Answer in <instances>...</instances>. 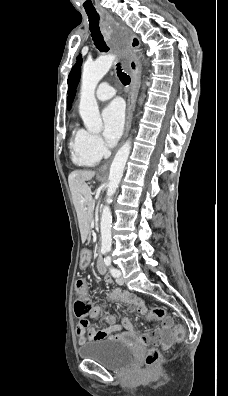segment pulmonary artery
Here are the masks:
<instances>
[{
    "label": "pulmonary artery",
    "mask_w": 228,
    "mask_h": 396,
    "mask_svg": "<svg viewBox=\"0 0 228 396\" xmlns=\"http://www.w3.org/2000/svg\"><path fill=\"white\" fill-rule=\"evenodd\" d=\"M116 94L115 89L107 82H102L96 90V98L99 101H105Z\"/></svg>",
    "instance_id": "pulmonary-artery-1"
}]
</instances>
